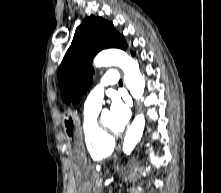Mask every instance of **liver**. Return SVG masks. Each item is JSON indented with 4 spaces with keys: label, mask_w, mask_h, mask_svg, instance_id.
Returning a JSON list of instances; mask_svg holds the SVG:
<instances>
[{
    "label": "liver",
    "mask_w": 221,
    "mask_h": 193,
    "mask_svg": "<svg viewBox=\"0 0 221 193\" xmlns=\"http://www.w3.org/2000/svg\"><path fill=\"white\" fill-rule=\"evenodd\" d=\"M75 188V183L73 184V189Z\"/></svg>",
    "instance_id": "1"
}]
</instances>
